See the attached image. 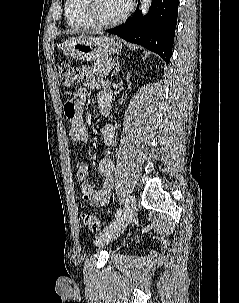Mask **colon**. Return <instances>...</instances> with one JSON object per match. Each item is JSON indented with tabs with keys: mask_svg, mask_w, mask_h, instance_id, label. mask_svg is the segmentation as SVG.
Segmentation results:
<instances>
[{
	"mask_svg": "<svg viewBox=\"0 0 239 303\" xmlns=\"http://www.w3.org/2000/svg\"><path fill=\"white\" fill-rule=\"evenodd\" d=\"M60 80L63 87L71 89L76 86L79 81L78 70L70 63H62L59 67ZM81 220L85 227L91 231H98L100 229V222L98 218L91 213H82Z\"/></svg>",
	"mask_w": 239,
	"mask_h": 303,
	"instance_id": "1",
	"label": "colon"
}]
</instances>
